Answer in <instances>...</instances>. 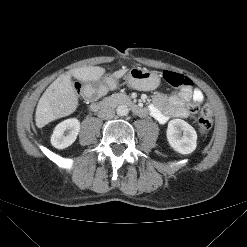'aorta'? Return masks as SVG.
Returning <instances> with one entry per match:
<instances>
[{"label":"aorta","mask_w":247,"mask_h":247,"mask_svg":"<svg viewBox=\"0 0 247 247\" xmlns=\"http://www.w3.org/2000/svg\"><path fill=\"white\" fill-rule=\"evenodd\" d=\"M116 112L119 116H126L129 113L127 105H119L116 109Z\"/></svg>","instance_id":"762f6f07"}]
</instances>
